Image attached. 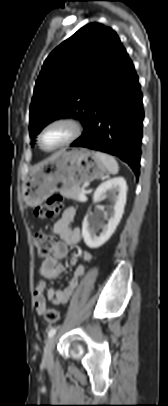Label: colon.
<instances>
[{
    "label": "colon",
    "instance_id": "5ec220e1",
    "mask_svg": "<svg viewBox=\"0 0 168 406\" xmlns=\"http://www.w3.org/2000/svg\"><path fill=\"white\" fill-rule=\"evenodd\" d=\"M62 207V197L59 195L50 196L46 202L36 207L35 214L42 219H50L58 214ZM34 245L36 247V254L39 259L46 258L57 244L55 237L45 234L36 233L33 237ZM43 318L48 323H56L59 321V313L53 307H43L41 309Z\"/></svg>",
    "mask_w": 168,
    "mask_h": 406
}]
</instances>
